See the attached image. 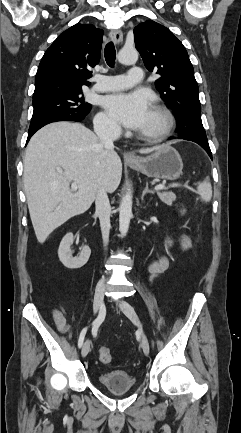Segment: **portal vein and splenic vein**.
<instances>
[{
  "label": "portal vein and splenic vein",
  "instance_id": "obj_1",
  "mask_svg": "<svg viewBox=\"0 0 241 433\" xmlns=\"http://www.w3.org/2000/svg\"><path fill=\"white\" fill-rule=\"evenodd\" d=\"M77 188H78V185H77L75 182H73V183L71 184V189H72L73 191H75V190H77ZM164 188H165V185H164V184H159V185L155 186V190H156V191L163 190Z\"/></svg>",
  "mask_w": 241,
  "mask_h": 433
}]
</instances>
